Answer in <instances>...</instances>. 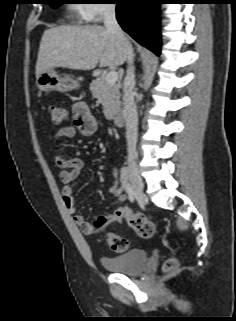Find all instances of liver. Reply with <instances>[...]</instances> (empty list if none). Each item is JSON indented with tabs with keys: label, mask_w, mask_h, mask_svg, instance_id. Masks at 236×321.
<instances>
[{
	"label": "liver",
	"mask_w": 236,
	"mask_h": 321,
	"mask_svg": "<svg viewBox=\"0 0 236 321\" xmlns=\"http://www.w3.org/2000/svg\"><path fill=\"white\" fill-rule=\"evenodd\" d=\"M129 41V40H128ZM127 60L126 47L103 26H58L44 31L36 62V78L56 67L91 70L116 67Z\"/></svg>",
	"instance_id": "obj_1"
}]
</instances>
